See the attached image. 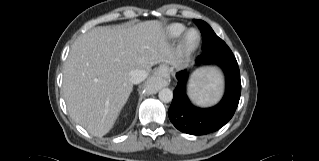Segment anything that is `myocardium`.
<instances>
[{"mask_svg": "<svg viewBox=\"0 0 319 161\" xmlns=\"http://www.w3.org/2000/svg\"><path fill=\"white\" fill-rule=\"evenodd\" d=\"M200 34L195 29L186 31L182 37L180 44V52L182 56L187 57L191 55L199 46Z\"/></svg>", "mask_w": 319, "mask_h": 161, "instance_id": "obj_1", "label": "myocardium"}]
</instances>
